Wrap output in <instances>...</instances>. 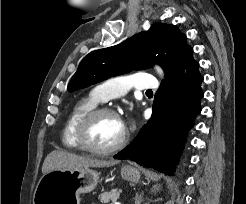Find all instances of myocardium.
Returning <instances> with one entry per match:
<instances>
[{
  "mask_svg": "<svg viewBox=\"0 0 246 204\" xmlns=\"http://www.w3.org/2000/svg\"><path fill=\"white\" fill-rule=\"evenodd\" d=\"M103 115H112L119 118L118 113L112 108L96 107L90 110L89 112H87L79 121L76 128L75 136H76L77 143L82 150L97 155H108L122 149L126 145L128 141V132L126 129H124L123 135L121 136L120 140L110 147L98 148L92 146L88 142L87 133L90 125L95 119Z\"/></svg>",
  "mask_w": 246,
  "mask_h": 204,
  "instance_id": "myocardium-1",
  "label": "myocardium"
}]
</instances>
